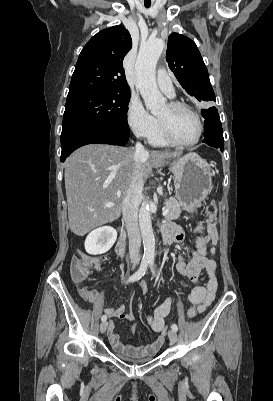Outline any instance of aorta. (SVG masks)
<instances>
[{"label":"aorta","mask_w":273,"mask_h":401,"mask_svg":"<svg viewBox=\"0 0 273 401\" xmlns=\"http://www.w3.org/2000/svg\"><path fill=\"white\" fill-rule=\"evenodd\" d=\"M164 49V41L154 39L141 46L135 64L136 87L145 102V106L153 115L159 114L165 106L156 84V65ZM139 224L144 245V257L153 260L155 256V239L151 223V214L147 202H143L139 210Z\"/></svg>","instance_id":"1"}]
</instances>
